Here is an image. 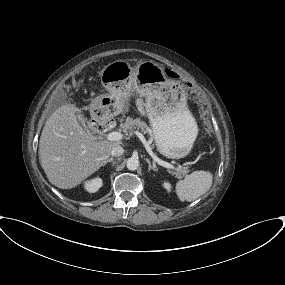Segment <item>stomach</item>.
<instances>
[{
  "label": "stomach",
  "instance_id": "stomach-1",
  "mask_svg": "<svg viewBox=\"0 0 285 285\" xmlns=\"http://www.w3.org/2000/svg\"><path fill=\"white\" fill-rule=\"evenodd\" d=\"M101 83L108 91L97 98L91 116L106 123L124 110V101L135 91L145 97L157 150L165 157L183 158L189 154L197 136V124L188 110L186 93L176 81L166 77L161 65L141 61L135 67L117 60L101 71Z\"/></svg>",
  "mask_w": 285,
  "mask_h": 285
}]
</instances>
